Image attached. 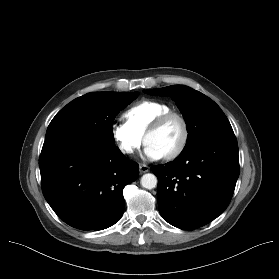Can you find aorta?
Instances as JSON below:
<instances>
[{"label":"aorta","mask_w":279,"mask_h":279,"mask_svg":"<svg viewBox=\"0 0 279 279\" xmlns=\"http://www.w3.org/2000/svg\"><path fill=\"white\" fill-rule=\"evenodd\" d=\"M157 182V177L154 174L147 173L141 177L140 184L143 188L151 190L157 186Z\"/></svg>","instance_id":"aorta-1"}]
</instances>
